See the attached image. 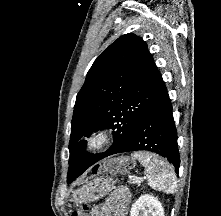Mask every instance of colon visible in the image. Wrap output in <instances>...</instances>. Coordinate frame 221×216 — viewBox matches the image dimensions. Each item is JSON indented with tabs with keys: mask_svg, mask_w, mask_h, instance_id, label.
I'll return each instance as SVG.
<instances>
[{
	"mask_svg": "<svg viewBox=\"0 0 221 216\" xmlns=\"http://www.w3.org/2000/svg\"><path fill=\"white\" fill-rule=\"evenodd\" d=\"M133 161L128 157H122L118 159H112L106 161L103 165L98 168V172L117 170L120 172H126L133 167ZM71 216H89L88 207L86 205H81L77 210H75Z\"/></svg>",
	"mask_w": 221,
	"mask_h": 216,
	"instance_id": "5ec220e1",
	"label": "colon"
}]
</instances>
